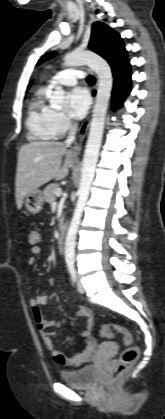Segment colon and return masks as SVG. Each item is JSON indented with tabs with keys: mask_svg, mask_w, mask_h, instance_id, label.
<instances>
[{
	"mask_svg": "<svg viewBox=\"0 0 165 419\" xmlns=\"http://www.w3.org/2000/svg\"><path fill=\"white\" fill-rule=\"evenodd\" d=\"M30 241L32 243L38 242V236L35 233H32L30 235ZM114 331L122 336L126 348L120 354V357L108 378L109 384H114L119 380L137 361L140 353L139 347L134 344L133 335L126 328L115 324H107L103 327L101 333L103 337L110 338Z\"/></svg>",
	"mask_w": 165,
	"mask_h": 419,
	"instance_id": "1",
	"label": "colon"
}]
</instances>
